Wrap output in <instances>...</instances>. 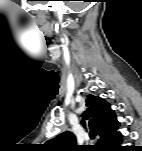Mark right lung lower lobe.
I'll return each instance as SVG.
<instances>
[{"instance_id":"right-lung-lower-lobe-1","label":"right lung lower lobe","mask_w":142,"mask_h":151,"mask_svg":"<svg viewBox=\"0 0 142 151\" xmlns=\"http://www.w3.org/2000/svg\"><path fill=\"white\" fill-rule=\"evenodd\" d=\"M113 151H121V150H126L125 148H123L121 145H119V143L113 147L112 149Z\"/></svg>"}]
</instances>
